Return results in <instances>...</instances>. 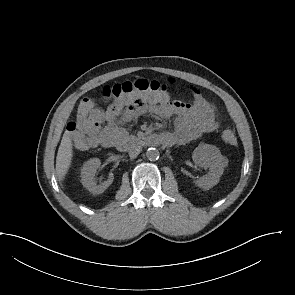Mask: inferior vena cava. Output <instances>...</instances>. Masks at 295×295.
I'll return each instance as SVG.
<instances>
[{
	"instance_id": "inferior-vena-cava-1",
	"label": "inferior vena cava",
	"mask_w": 295,
	"mask_h": 295,
	"mask_svg": "<svg viewBox=\"0 0 295 295\" xmlns=\"http://www.w3.org/2000/svg\"><path fill=\"white\" fill-rule=\"evenodd\" d=\"M141 150H142L141 146H138V145L133 146L129 151L130 158L132 159L136 158L140 154Z\"/></svg>"
}]
</instances>
